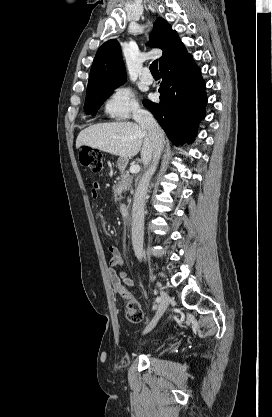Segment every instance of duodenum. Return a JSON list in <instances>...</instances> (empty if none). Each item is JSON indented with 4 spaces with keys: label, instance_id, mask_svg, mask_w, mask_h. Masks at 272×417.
<instances>
[{
    "label": "duodenum",
    "instance_id": "410a0bca",
    "mask_svg": "<svg viewBox=\"0 0 272 417\" xmlns=\"http://www.w3.org/2000/svg\"><path fill=\"white\" fill-rule=\"evenodd\" d=\"M119 210L124 219H129L130 209L126 203H122L119 207Z\"/></svg>",
    "mask_w": 272,
    "mask_h": 417
}]
</instances>
